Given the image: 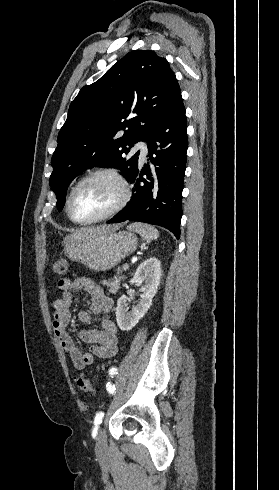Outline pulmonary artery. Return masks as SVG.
Instances as JSON below:
<instances>
[{"label":"pulmonary artery","mask_w":279,"mask_h":490,"mask_svg":"<svg viewBox=\"0 0 279 490\" xmlns=\"http://www.w3.org/2000/svg\"><path fill=\"white\" fill-rule=\"evenodd\" d=\"M134 149H140L143 156H146L148 151H147V147L143 144V143H137L135 146H134Z\"/></svg>","instance_id":"obj_1"}]
</instances>
